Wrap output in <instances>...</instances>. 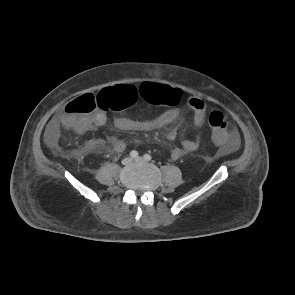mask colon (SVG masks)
Here are the masks:
<instances>
[{
  "label": "colon",
  "instance_id": "obj_1",
  "mask_svg": "<svg viewBox=\"0 0 295 295\" xmlns=\"http://www.w3.org/2000/svg\"><path fill=\"white\" fill-rule=\"evenodd\" d=\"M138 93L149 103L157 105H177L182 100V95L168 86L145 83L138 91L131 85L119 84L105 88L97 95L86 94L68 102L60 122L65 128L76 129L97 107L105 111L125 109L135 102ZM209 124L215 144L230 145L235 141L236 133L221 112H211Z\"/></svg>",
  "mask_w": 295,
  "mask_h": 295
}]
</instances>
